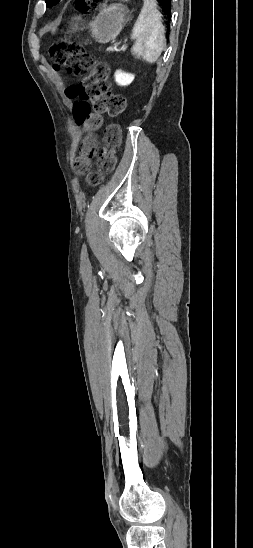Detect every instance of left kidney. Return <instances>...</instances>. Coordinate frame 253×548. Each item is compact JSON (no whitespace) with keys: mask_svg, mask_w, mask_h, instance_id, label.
<instances>
[{"mask_svg":"<svg viewBox=\"0 0 253 548\" xmlns=\"http://www.w3.org/2000/svg\"><path fill=\"white\" fill-rule=\"evenodd\" d=\"M133 80H134V75L130 73H125V72H122L121 70H118L115 73V81L121 86L129 85Z\"/></svg>","mask_w":253,"mask_h":548,"instance_id":"obj_1","label":"left kidney"}]
</instances>
